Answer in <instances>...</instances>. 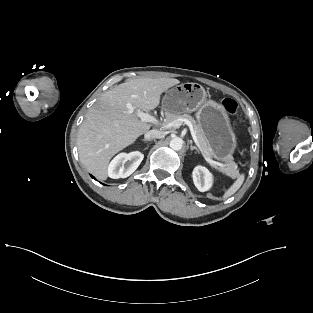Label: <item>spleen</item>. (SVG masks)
<instances>
[{
    "mask_svg": "<svg viewBox=\"0 0 313 313\" xmlns=\"http://www.w3.org/2000/svg\"><path fill=\"white\" fill-rule=\"evenodd\" d=\"M244 174H240L236 181L225 191L224 195H223V199L229 198L230 196H232L234 193H236L239 188L241 187V185L244 182Z\"/></svg>",
    "mask_w": 313,
    "mask_h": 313,
    "instance_id": "1",
    "label": "spleen"
}]
</instances>
